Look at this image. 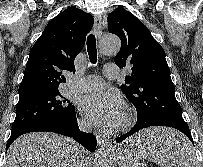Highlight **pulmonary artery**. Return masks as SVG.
Masks as SVG:
<instances>
[{
  "label": "pulmonary artery",
  "mask_w": 203,
  "mask_h": 167,
  "mask_svg": "<svg viewBox=\"0 0 203 167\" xmlns=\"http://www.w3.org/2000/svg\"><path fill=\"white\" fill-rule=\"evenodd\" d=\"M119 74V68L115 64H106L104 66V75L107 78H116ZM104 81L97 75H88L71 81V86L80 91H91L102 88Z\"/></svg>",
  "instance_id": "1"
}]
</instances>
